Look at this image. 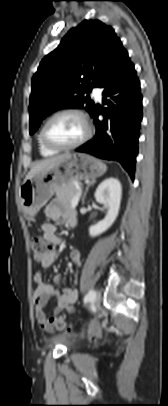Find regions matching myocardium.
<instances>
[{"label":"myocardium","mask_w":168,"mask_h":406,"mask_svg":"<svg viewBox=\"0 0 168 406\" xmlns=\"http://www.w3.org/2000/svg\"><path fill=\"white\" fill-rule=\"evenodd\" d=\"M63 114H75L77 116H79L85 126V132L83 134V136L77 140L76 142L69 144V145H56L54 143H52L46 136V129L49 125V123L55 119L56 117L63 115ZM92 135V125L90 122V119L88 117V115L81 109L79 108H75V107H67V108H63L60 109L58 111H56L55 113H53L43 124L41 130H40V138L42 143L49 149L51 150H56V151H64V150H71V149H75L81 145H83Z\"/></svg>","instance_id":"obj_1"}]
</instances>
